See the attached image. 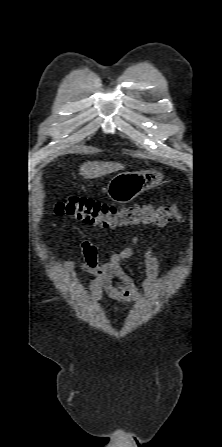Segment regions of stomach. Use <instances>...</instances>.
Segmentation results:
<instances>
[{
    "mask_svg": "<svg viewBox=\"0 0 222 447\" xmlns=\"http://www.w3.org/2000/svg\"><path fill=\"white\" fill-rule=\"evenodd\" d=\"M163 178L164 173L156 169L119 173L109 181L106 193L114 202L128 203L144 191L159 185Z\"/></svg>",
    "mask_w": 222,
    "mask_h": 447,
    "instance_id": "obj_1",
    "label": "stomach"
}]
</instances>
